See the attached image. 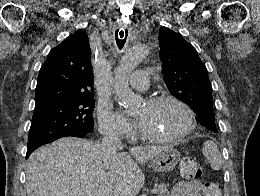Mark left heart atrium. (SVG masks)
<instances>
[{
    "mask_svg": "<svg viewBox=\"0 0 260 196\" xmlns=\"http://www.w3.org/2000/svg\"><path fill=\"white\" fill-rule=\"evenodd\" d=\"M105 192H113V190H106Z\"/></svg>",
    "mask_w": 260,
    "mask_h": 196,
    "instance_id": "left-heart-atrium-1",
    "label": "left heart atrium"
}]
</instances>
